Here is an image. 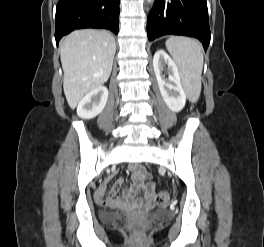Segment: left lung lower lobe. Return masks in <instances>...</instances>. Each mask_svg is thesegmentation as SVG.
Segmentation results:
<instances>
[{
    "label": "left lung lower lobe",
    "instance_id": "0a47b994",
    "mask_svg": "<svg viewBox=\"0 0 264 247\" xmlns=\"http://www.w3.org/2000/svg\"><path fill=\"white\" fill-rule=\"evenodd\" d=\"M148 39L183 35L199 39L204 49L210 43L206 0H156L147 19Z\"/></svg>",
    "mask_w": 264,
    "mask_h": 247
}]
</instances>
